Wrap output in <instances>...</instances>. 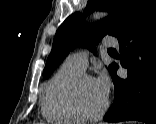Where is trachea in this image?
<instances>
[{
    "mask_svg": "<svg viewBox=\"0 0 156 124\" xmlns=\"http://www.w3.org/2000/svg\"><path fill=\"white\" fill-rule=\"evenodd\" d=\"M109 51H115V49H112V48H111V49H109Z\"/></svg>",
    "mask_w": 156,
    "mask_h": 124,
    "instance_id": "trachea-1",
    "label": "trachea"
}]
</instances>
